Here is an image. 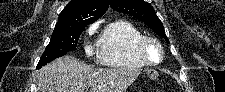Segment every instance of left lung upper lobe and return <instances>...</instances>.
Listing matches in <instances>:
<instances>
[{
  "mask_svg": "<svg viewBox=\"0 0 225 92\" xmlns=\"http://www.w3.org/2000/svg\"><path fill=\"white\" fill-rule=\"evenodd\" d=\"M112 9L132 15L147 26L152 28L158 35L164 37L166 42L169 40L165 34L162 22L156 15L153 7L143 0H109Z\"/></svg>",
  "mask_w": 225,
  "mask_h": 92,
  "instance_id": "1",
  "label": "left lung upper lobe"
}]
</instances>
